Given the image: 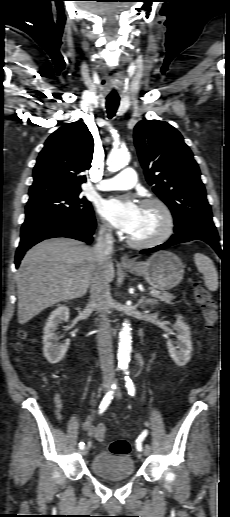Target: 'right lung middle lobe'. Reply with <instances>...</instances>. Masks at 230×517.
Wrapping results in <instances>:
<instances>
[{
	"label": "right lung middle lobe",
	"instance_id": "1",
	"mask_svg": "<svg viewBox=\"0 0 230 517\" xmlns=\"http://www.w3.org/2000/svg\"><path fill=\"white\" fill-rule=\"evenodd\" d=\"M81 190L49 195L29 200L26 205V218L42 214L66 216H87L93 214L90 202L80 198Z\"/></svg>",
	"mask_w": 230,
	"mask_h": 517
}]
</instances>
